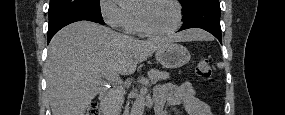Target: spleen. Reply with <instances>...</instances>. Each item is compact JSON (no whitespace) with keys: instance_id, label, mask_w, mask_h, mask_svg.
<instances>
[{"instance_id":"3e777b00","label":"spleen","mask_w":285,"mask_h":115,"mask_svg":"<svg viewBox=\"0 0 285 115\" xmlns=\"http://www.w3.org/2000/svg\"><path fill=\"white\" fill-rule=\"evenodd\" d=\"M217 66H218L219 68H223V64H222L221 62H219V63L217 64Z\"/></svg>"}]
</instances>
